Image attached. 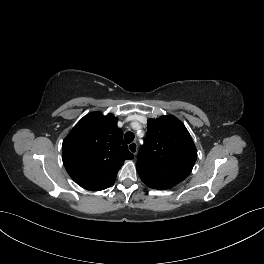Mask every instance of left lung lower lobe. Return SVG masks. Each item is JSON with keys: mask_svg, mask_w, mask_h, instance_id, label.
<instances>
[{"mask_svg": "<svg viewBox=\"0 0 264 264\" xmlns=\"http://www.w3.org/2000/svg\"><path fill=\"white\" fill-rule=\"evenodd\" d=\"M139 175L148 187L154 189H168L179 183L160 168L152 167L144 172H140Z\"/></svg>", "mask_w": 264, "mask_h": 264, "instance_id": "obj_1", "label": "left lung lower lobe"}]
</instances>
